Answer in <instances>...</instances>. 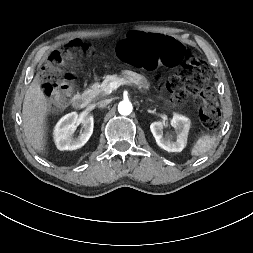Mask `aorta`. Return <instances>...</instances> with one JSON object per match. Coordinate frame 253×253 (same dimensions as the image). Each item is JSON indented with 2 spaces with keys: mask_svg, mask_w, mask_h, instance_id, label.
I'll return each instance as SVG.
<instances>
[{
  "mask_svg": "<svg viewBox=\"0 0 253 253\" xmlns=\"http://www.w3.org/2000/svg\"><path fill=\"white\" fill-rule=\"evenodd\" d=\"M133 109L132 103L128 100L121 101L118 105V111L121 115L131 114Z\"/></svg>",
  "mask_w": 253,
  "mask_h": 253,
  "instance_id": "762f6f07",
  "label": "aorta"
}]
</instances>
